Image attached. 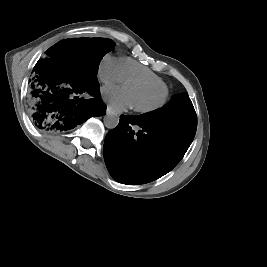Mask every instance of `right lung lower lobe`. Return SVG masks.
I'll list each match as a JSON object with an SVG mask.
<instances>
[{
  "instance_id": "obj_1",
  "label": "right lung lower lobe",
  "mask_w": 267,
  "mask_h": 267,
  "mask_svg": "<svg viewBox=\"0 0 267 267\" xmlns=\"http://www.w3.org/2000/svg\"><path fill=\"white\" fill-rule=\"evenodd\" d=\"M34 75L28 106L37 128L50 132L68 131L105 113L106 107L99 97V83L78 78L60 60H39ZM81 94L94 98H79Z\"/></svg>"
}]
</instances>
